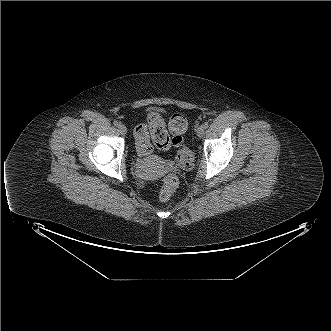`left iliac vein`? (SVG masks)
<instances>
[{
  "label": "left iliac vein",
  "mask_w": 331,
  "mask_h": 331,
  "mask_svg": "<svg viewBox=\"0 0 331 331\" xmlns=\"http://www.w3.org/2000/svg\"><path fill=\"white\" fill-rule=\"evenodd\" d=\"M196 133H197V136L199 138H202L204 136V134H205V128H204V126L203 125L199 126L197 128V130H196Z\"/></svg>",
  "instance_id": "1"
}]
</instances>
